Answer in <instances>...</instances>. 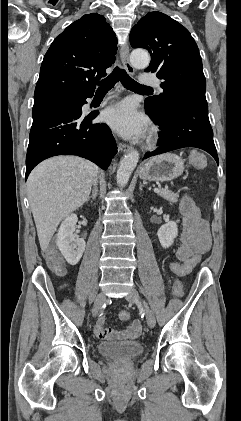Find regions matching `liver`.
I'll return each instance as SVG.
<instances>
[{
  "label": "liver",
  "mask_w": 241,
  "mask_h": 421,
  "mask_svg": "<svg viewBox=\"0 0 241 421\" xmlns=\"http://www.w3.org/2000/svg\"><path fill=\"white\" fill-rule=\"evenodd\" d=\"M99 168L77 156H56L30 173L27 192L42 251L59 223L88 199Z\"/></svg>",
  "instance_id": "6515ba94"
}]
</instances>
